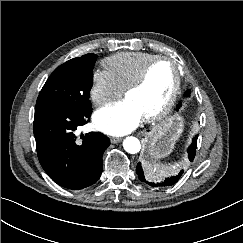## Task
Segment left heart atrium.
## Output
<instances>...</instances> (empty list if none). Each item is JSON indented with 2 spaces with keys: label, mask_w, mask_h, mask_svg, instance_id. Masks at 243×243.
<instances>
[{
  "label": "left heart atrium",
  "mask_w": 243,
  "mask_h": 243,
  "mask_svg": "<svg viewBox=\"0 0 243 243\" xmlns=\"http://www.w3.org/2000/svg\"><path fill=\"white\" fill-rule=\"evenodd\" d=\"M143 117L141 110L125 98L97 110L94 114V124L104 133L120 136L134 130Z\"/></svg>",
  "instance_id": "left-heart-atrium-1"
}]
</instances>
